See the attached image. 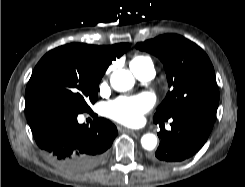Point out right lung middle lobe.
I'll use <instances>...</instances> for the list:
<instances>
[{
  "label": "right lung middle lobe",
  "mask_w": 245,
  "mask_h": 187,
  "mask_svg": "<svg viewBox=\"0 0 245 187\" xmlns=\"http://www.w3.org/2000/svg\"><path fill=\"white\" fill-rule=\"evenodd\" d=\"M100 64L82 44L49 51L36 65L25 92L27 118L51 108L90 112L104 75Z\"/></svg>",
  "instance_id": "dd1d6c3e"
}]
</instances>
